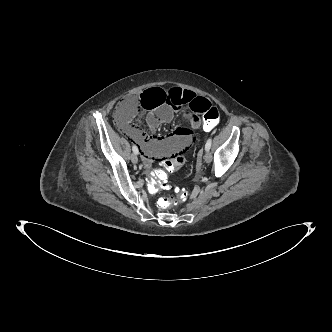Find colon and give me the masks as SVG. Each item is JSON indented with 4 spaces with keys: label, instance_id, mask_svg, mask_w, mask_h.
<instances>
[{
    "label": "colon",
    "instance_id": "obj_1",
    "mask_svg": "<svg viewBox=\"0 0 332 332\" xmlns=\"http://www.w3.org/2000/svg\"><path fill=\"white\" fill-rule=\"evenodd\" d=\"M138 97H130L122 100L117 106L115 111L116 119L122 125H128L129 121L133 118L138 110L137 106ZM203 120L198 124V131L200 133H211L214 131L215 126L220 122V111L214 106H209L203 113ZM193 160V155L189 151H184L180 155L171 159H166L162 163V169L153 172L148 181V188L151 192H157L162 189L170 187L167 179L168 173H175L185 168ZM187 198L186 191H179L175 197L160 198L158 204L163 208L171 206H178L182 204Z\"/></svg>",
    "mask_w": 332,
    "mask_h": 332
}]
</instances>
